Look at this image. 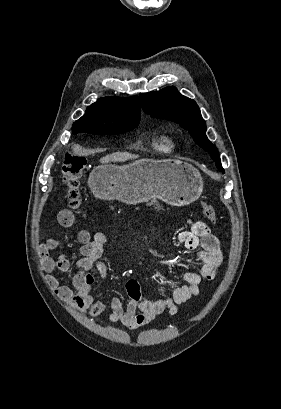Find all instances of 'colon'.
<instances>
[{
  "mask_svg": "<svg viewBox=\"0 0 281 409\" xmlns=\"http://www.w3.org/2000/svg\"><path fill=\"white\" fill-rule=\"evenodd\" d=\"M87 159L83 155L76 154L70 150L66 151L63 159V185L66 190L68 206L71 209H78L81 205L80 184L82 173L87 167ZM204 215L211 221H215L217 216L211 205L203 204Z\"/></svg>",
  "mask_w": 281,
  "mask_h": 409,
  "instance_id": "5ec220e1",
  "label": "colon"
}]
</instances>
